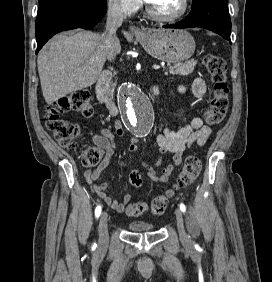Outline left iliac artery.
I'll list each match as a JSON object with an SVG mask.
<instances>
[{
	"label": "left iliac artery",
	"instance_id": "1",
	"mask_svg": "<svg viewBox=\"0 0 272 282\" xmlns=\"http://www.w3.org/2000/svg\"><path fill=\"white\" fill-rule=\"evenodd\" d=\"M180 209H181L182 212H185L186 211V206L183 203H181L180 204Z\"/></svg>",
	"mask_w": 272,
	"mask_h": 282
}]
</instances>
